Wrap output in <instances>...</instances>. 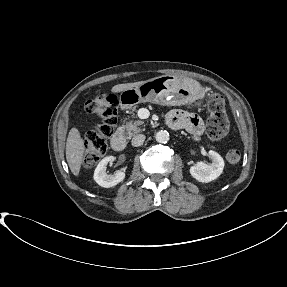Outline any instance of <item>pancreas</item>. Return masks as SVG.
Instances as JSON below:
<instances>
[{
    "instance_id": "pancreas-1",
    "label": "pancreas",
    "mask_w": 287,
    "mask_h": 287,
    "mask_svg": "<svg viewBox=\"0 0 287 287\" xmlns=\"http://www.w3.org/2000/svg\"><path fill=\"white\" fill-rule=\"evenodd\" d=\"M120 130L124 133V135L127 138H131L132 136L145 130L144 121L142 120L127 121L120 127Z\"/></svg>"
}]
</instances>
